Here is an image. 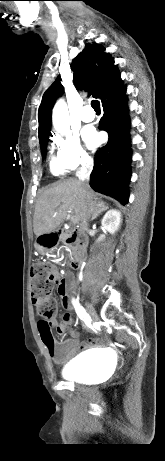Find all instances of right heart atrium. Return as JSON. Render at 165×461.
Returning a JSON list of instances; mask_svg holds the SVG:
<instances>
[{
	"mask_svg": "<svg viewBox=\"0 0 165 461\" xmlns=\"http://www.w3.org/2000/svg\"><path fill=\"white\" fill-rule=\"evenodd\" d=\"M54 142L57 146V161L64 170L72 171L91 164L92 158L77 136L57 134Z\"/></svg>",
	"mask_w": 165,
	"mask_h": 461,
	"instance_id": "right-heart-atrium-1",
	"label": "right heart atrium"
}]
</instances>
